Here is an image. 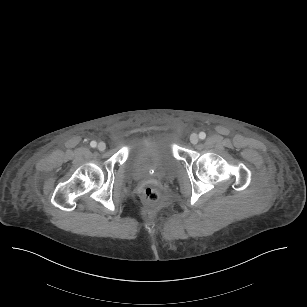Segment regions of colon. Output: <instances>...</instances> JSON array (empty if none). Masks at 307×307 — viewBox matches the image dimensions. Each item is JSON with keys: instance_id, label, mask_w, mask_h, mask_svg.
<instances>
[{"instance_id": "1", "label": "colon", "mask_w": 307, "mask_h": 307, "mask_svg": "<svg viewBox=\"0 0 307 307\" xmlns=\"http://www.w3.org/2000/svg\"><path fill=\"white\" fill-rule=\"evenodd\" d=\"M162 197V192L159 188L154 186H149L145 189L142 200L147 205H152L155 202L159 201Z\"/></svg>"}]
</instances>
